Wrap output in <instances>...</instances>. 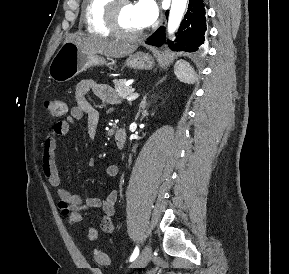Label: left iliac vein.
Listing matches in <instances>:
<instances>
[{"label":"left iliac vein","mask_w":289,"mask_h":274,"mask_svg":"<svg viewBox=\"0 0 289 274\" xmlns=\"http://www.w3.org/2000/svg\"><path fill=\"white\" fill-rule=\"evenodd\" d=\"M151 258V246L146 245L139 256L132 262L130 268H143L145 267Z\"/></svg>","instance_id":"4c4485c4"}]
</instances>
